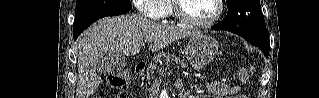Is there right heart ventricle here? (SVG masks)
I'll return each instance as SVG.
<instances>
[{"label":"right heart ventricle","mask_w":319,"mask_h":98,"mask_svg":"<svg viewBox=\"0 0 319 98\" xmlns=\"http://www.w3.org/2000/svg\"><path fill=\"white\" fill-rule=\"evenodd\" d=\"M157 9H159L163 16L168 17L172 15V6L170 3H167L166 1H159L154 5Z\"/></svg>","instance_id":"e07e8e85"}]
</instances>
